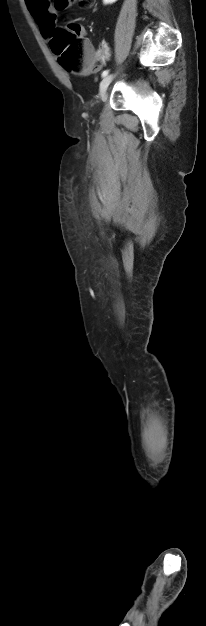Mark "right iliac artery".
<instances>
[{"mask_svg":"<svg viewBox=\"0 0 206 626\" xmlns=\"http://www.w3.org/2000/svg\"><path fill=\"white\" fill-rule=\"evenodd\" d=\"M108 73H109V70H104V71L102 72V77L107 76V75H108Z\"/></svg>","mask_w":206,"mask_h":626,"instance_id":"1","label":"right iliac artery"}]
</instances>
